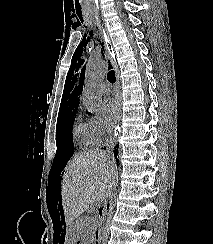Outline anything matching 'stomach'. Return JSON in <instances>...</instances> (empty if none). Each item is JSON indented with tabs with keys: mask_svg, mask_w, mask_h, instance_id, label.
<instances>
[{
	"mask_svg": "<svg viewBox=\"0 0 213 244\" xmlns=\"http://www.w3.org/2000/svg\"><path fill=\"white\" fill-rule=\"evenodd\" d=\"M78 226H80V221L65 223L68 234L67 239H63V244H75V239H80L81 229H78Z\"/></svg>",
	"mask_w": 213,
	"mask_h": 244,
	"instance_id": "stomach-1",
	"label": "stomach"
}]
</instances>
